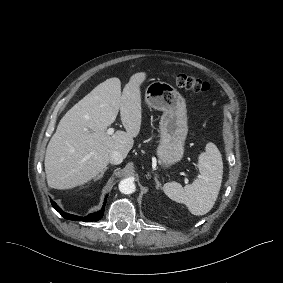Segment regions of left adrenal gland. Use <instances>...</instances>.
<instances>
[{
    "label": "left adrenal gland",
    "mask_w": 283,
    "mask_h": 283,
    "mask_svg": "<svg viewBox=\"0 0 283 283\" xmlns=\"http://www.w3.org/2000/svg\"><path fill=\"white\" fill-rule=\"evenodd\" d=\"M154 180H155V182H156V189H159V188L161 187V184H160V182L158 181L157 174H155Z\"/></svg>",
    "instance_id": "left-adrenal-gland-1"
}]
</instances>
